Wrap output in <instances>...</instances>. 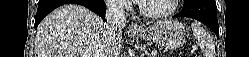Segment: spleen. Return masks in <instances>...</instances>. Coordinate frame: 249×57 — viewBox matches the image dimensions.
<instances>
[{"label":"spleen","instance_id":"obj_1","mask_svg":"<svg viewBox=\"0 0 249 57\" xmlns=\"http://www.w3.org/2000/svg\"><path fill=\"white\" fill-rule=\"evenodd\" d=\"M193 34L199 44V46L204 49V54L206 57H214V53L210 50H205V47L209 49L210 45L208 44L210 36L206 31L196 22L191 24Z\"/></svg>","mask_w":249,"mask_h":57}]
</instances>
